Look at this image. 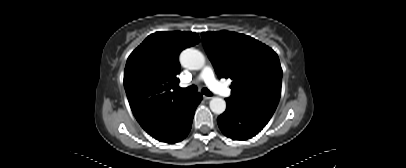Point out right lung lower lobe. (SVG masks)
<instances>
[{
	"mask_svg": "<svg viewBox=\"0 0 406 168\" xmlns=\"http://www.w3.org/2000/svg\"><path fill=\"white\" fill-rule=\"evenodd\" d=\"M202 100L201 94L189 96L173 113L150 135L167 143L183 140L189 133L196 107Z\"/></svg>",
	"mask_w": 406,
	"mask_h": 168,
	"instance_id": "obj_1",
	"label": "right lung lower lobe"
}]
</instances>
